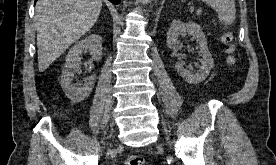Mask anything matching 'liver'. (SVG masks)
I'll use <instances>...</instances> for the list:
<instances>
[{"label": "liver", "mask_w": 276, "mask_h": 165, "mask_svg": "<svg viewBox=\"0 0 276 165\" xmlns=\"http://www.w3.org/2000/svg\"><path fill=\"white\" fill-rule=\"evenodd\" d=\"M102 0H38V69L45 71L97 21Z\"/></svg>", "instance_id": "6515ba94"}]
</instances>
